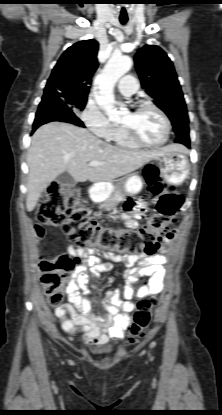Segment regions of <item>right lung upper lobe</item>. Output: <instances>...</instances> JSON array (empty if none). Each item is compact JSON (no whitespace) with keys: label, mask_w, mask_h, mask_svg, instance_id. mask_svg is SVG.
<instances>
[{"label":"right lung upper lobe","mask_w":222,"mask_h":415,"mask_svg":"<svg viewBox=\"0 0 222 415\" xmlns=\"http://www.w3.org/2000/svg\"><path fill=\"white\" fill-rule=\"evenodd\" d=\"M98 47L95 40L80 41L69 47L55 65L43 97H59L58 93L87 96L98 67Z\"/></svg>","instance_id":"1"}]
</instances>
